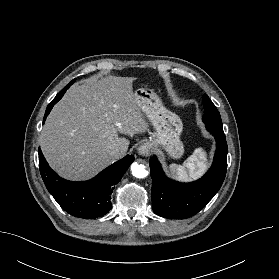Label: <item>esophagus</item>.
Here are the masks:
<instances>
[{"label":"esophagus","instance_id":"obj_1","mask_svg":"<svg viewBox=\"0 0 279 279\" xmlns=\"http://www.w3.org/2000/svg\"><path fill=\"white\" fill-rule=\"evenodd\" d=\"M152 144L149 142H145L138 147V154L141 156H149L152 152Z\"/></svg>","mask_w":279,"mask_h":279}]
</instances>
